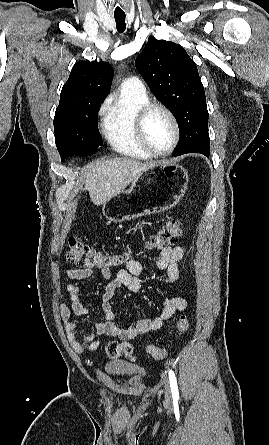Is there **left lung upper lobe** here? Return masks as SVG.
<instances>
[{
	"instance_id": "left-lung-upper-lobe-1",
	"label": "left lung upper lobe",
	"mask_w": 269,
	"mask_h": 445,
	"mask_svg": "<svg viewBox=\"0 0 269 445\" xmlns=\"http://www.w3.org/2000/svg\"><path fill=\"white\" fill-rule=\"evenodd\" d=\"M135 65L152 93L178 122L181 139L174 156L195 152L208 157L210 138L205 91L196 64L185 49L150 37Z\"/></svg>"
}]
</instances>
